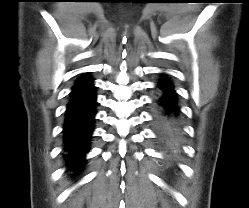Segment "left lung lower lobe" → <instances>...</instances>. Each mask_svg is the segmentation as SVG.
Wrapping results in <instances>:
<instances>
[{
    "label": "left lung lower lobe",
    "instance_id": "obj_1",
    "mask_svg": "<svg viewBox=\"0 0 249 208\" xmlns=\"http://www.w3.org/2000/svg\"><path fill=\"white\" fill-rule=\"evenodd\" d=\"M154 125L160 142L171 154L178 152L182 133L180 107L173 84L163 77L154 99Z\"/></svg>",
    "mask_w": 249,
    "mask_h": 208
}]
</instances>
